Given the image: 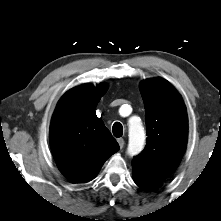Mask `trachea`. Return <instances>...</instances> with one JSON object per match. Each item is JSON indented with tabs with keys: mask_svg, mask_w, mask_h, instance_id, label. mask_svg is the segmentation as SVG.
<instances>
[{
	"mask_svg": "<svg viewBox=\"0 0 221 221\" xmlns=\"http://www.w3.org/2000/svg\"><path fill=\"white\" fill-rule=\"evenodd\" d=\"M113 135L117 138L123 135V126L119 122H115L112 127Z\"/></svg>",
	"mask_w": 221,
	"mask_h": 221,
	"instance_id": "3493384b",
	"label": "trachea"
}]
</instances>
